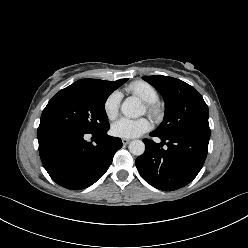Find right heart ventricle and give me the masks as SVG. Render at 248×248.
<instances>
[{"label":"right heart ventricle","mask_w":248,"mask_h":248,"mask_svg":"<svg viewBox=\"0 0 248 248\" xmlns=\"http://www.w3.org/2000/svg\"><path fill=\"white\" fill-rule=\"evenodd\" d=\"M126 91L137 96L146 104H154L159 100L157 90L145 81L132 82L126 87Z\"/></svg>","instance_id":"obj_1"}]
</instances>
